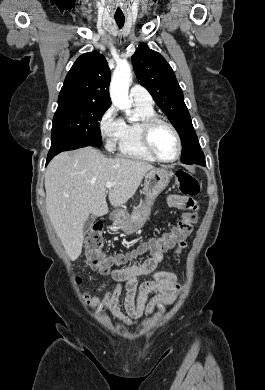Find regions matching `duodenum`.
<instances>
[{
    "instance_id": "410a0bca",
    "label": "duodenum",
    "mask_w": 265,
    "mask_h": 390,
    "mask_svg": "<svg viewBox=\"0 0 265 390\" xmlns=\"http://www.w3.org/2000/svg\"><path fill=\"white\" fill-rule=\"evenodd\" d=\"M109 218L111 221L116 222L119 219V215L117 213H111Z\"/></svg>"
}]
</instances>
